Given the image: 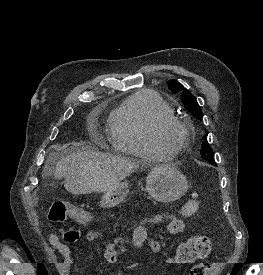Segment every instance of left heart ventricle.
Listing matches in <instances>:
<instances>
[{"mask_svg":"<svg viewBox=\"0 0 263 275\" xmlns=\"http://www.w3.org/2000/svg\"><path fill=\"white\" fill-rule=\"evenodd\" d=\"M180 137L179 132L176 129L168 128L161 132V139L168 144H174Z\"/></svg>","mask_w":263,"mask_h":275,"instance_id":"b2bd125f","label":"left heart ventricle"}]
</instances>
